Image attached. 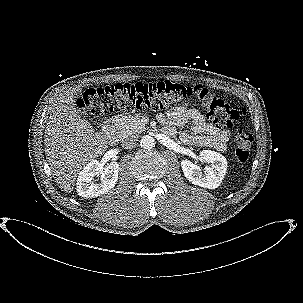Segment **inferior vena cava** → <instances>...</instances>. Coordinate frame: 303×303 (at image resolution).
Returning a JSON list of instances; mask_svg holds the SVG:
<instances>
[{"mask_svg":"<svg viewBox=\"0 0 303 303\" xmlns=\"http://www.w3.org/2000/svg\"><path fill=\"white\" fill-rule=\"evenodd\" d=\"M136 136L135 135H126L122 138V143L127 149H131L136 146Z\"/></svg>","mask_w":303,"mask_h":303,"instance_id":"1","label":"inferior vena cava"}]
</instances>
